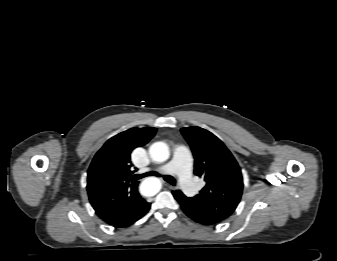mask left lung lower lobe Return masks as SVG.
Masks as SVG:
<instances>
[{
  "label": "left lung lower lobe",
  "mask_w": 337,
  "mask_h": 261,
  "mask_svg": "<svg viewBox=\"0 0 337 261\" xmlns=\"http://www.w3.org/2000/svg\"><path fill=\"white\" fill-rule=\"evenodd\" d=\"M174 198L180 203L183 212L191 218L193 221L205 225V226H215L220 223V221L212 218L211 216L195 209L190 204L185 202L182 197V192L177 190L172 192Z\"/></svg>",
  "instance_id": "0a47b994"
}]
</instances>
